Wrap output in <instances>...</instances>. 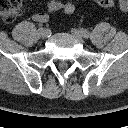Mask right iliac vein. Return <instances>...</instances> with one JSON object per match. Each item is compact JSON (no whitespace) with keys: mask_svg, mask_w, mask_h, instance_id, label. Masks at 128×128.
I'll return each instance as SVG.
<instances>
[{"mask_svg":"<svg viewBox=\"0 0 128 128\" xmlns=\"http://www.w3.org/2000/svg\"><path fill=\"white\" fill-rule=\"evenodd\" d=\"M39 34L43 39H46L50 35V31L48 29H40Z\"/></svg>","mask_w":128,"mask_h":128,"instance_id":"1","label":"right iliac vein"}]
</instances>
